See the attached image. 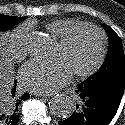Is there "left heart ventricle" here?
Instances as JSON below:
<instances>
[{"label":"left heart ventricle","mask_w":125,"mask_h":125,"mask_svg":"<svg viewBox=\"0 0 125 125\" xmlns=\"http://www.w3.org/2000/svg\"><path fill=\"white\" fill-rule=\"evenodd\" d=\"M100 50L99 35L89 29L81 30L66 48L56 46L54 57L64 59L72 72L84 70L96 60Z\"/></svg>","instance_id":"b2bd125f"}]
</instances>
